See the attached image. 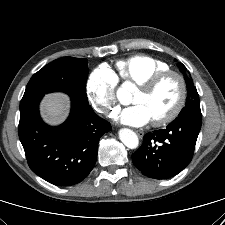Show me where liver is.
Instances as JSON below:
<instances>
[{
    "label": "liver",
    "instance_id": "obj_1",
    "mask_svg": "<svg viewBox=\"0 0 225 225\" xmlns=\"http://www.w3.org/2000/svg\"><path fill=\"white\" fill-rule=\"evenodd\" d=\"M40 110L47 123L60 124L69 113V98L63 93L47 94L41 102Z\"/></svg>",
    "mask_w": 225,
    "mask_h": 225
}]
</instances>
